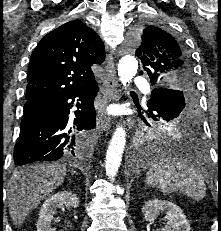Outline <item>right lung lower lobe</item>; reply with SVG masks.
I'll return each mask as SVG.
<instances>
[{"label":"right lung lower lobe","mask_w":221,"mask_h":231,"mask_svg":"<svg viewBox=\"0 0 221 231\" xmlns=\"http://www.w3.org/2000/svg\"><path fill=\"white\" fill-rule=\"evenodd\" d=\"M97 82L90 87L58 91L27 100L20 137L14 148L15 165L66 159L84 150L86 131L96 126L93 100ZM77 99L72 119L70 109Z\"/></svg>","instance_id":"right-lung-lower-lobe-1"}]
</instances>
